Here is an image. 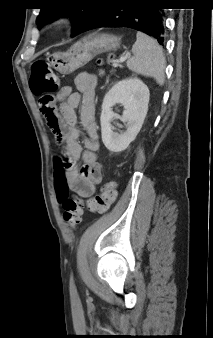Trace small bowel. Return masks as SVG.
<instances>
[{
    "mask_svg": "<svg viewBox=\"0 0 213 338\" xmlns=\"http://www.w3.org/2000/svg\"><path fill=\"white\" fill-rule=\"evenodd\" d=\"M77 92L71 86L62 87L57 93L59 102V125L63 130L66 160L59 162L56 170H66L69 188L83 199L95 193V184L101 182L102 173L98 162L99 147L95 119V88L97 77L80 73L75 78ZM80 107L78 117L76 110ZM78 121L82 129L77 126ZM84 137V147L79 138ZM79 160L83 165L78 167ZM69 164L67 167L66 165Z\"/></svg>",
    "mask_w": 213,
    "mask_h": 338,
    "instance_id": "1",
    "label": "small bowel"
}]
</instances>
